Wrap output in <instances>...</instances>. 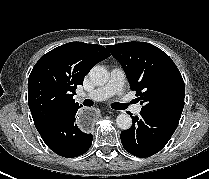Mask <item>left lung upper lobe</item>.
<instances>
[{"label":"left lung upper lobe","instance_id":"1","mask_svg":"<svg viewBox=\"0 0 209 179\" xmlns=\"http://www.w3.org/2000/svg\"><path fill=\"white\" fill-rule=\"evenodd\" d=\"M107 48L122 65L131 90L143 104L142 110L182 114L184 81L166 53L146 42H125Z\"/></svg>","mask_w":209,"mask_h":179}]
</instances>
